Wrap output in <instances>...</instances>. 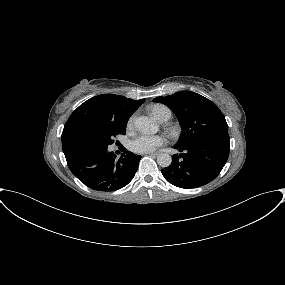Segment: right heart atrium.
Returning a JSON list of instances; mask_svg holds the SVG:
<instances>
[{
    "label": "right heart atrium",
    "mask_w": 285,
    "mask_h": 285,
    "mask_svg": "<svg viewBox=\"0 0 285 285\" xmlns=\"http://www.w3.org/2000/svg\"><path fill=\"white\" fill-rule=\"evenodd\" d=\"M133 125H134V116H132L130 119H129V121H128V128H131V127H133Z\"/></svg>",
    "instance_id": "1"
}]
</instances>
